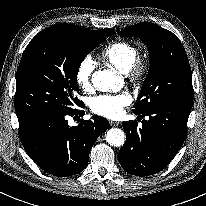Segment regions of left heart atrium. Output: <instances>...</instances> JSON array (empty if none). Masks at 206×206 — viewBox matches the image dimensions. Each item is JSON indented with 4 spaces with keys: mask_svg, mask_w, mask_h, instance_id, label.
<instances>
[{
    "mask_svg": "<svg viewBox=\"0 0 206 206\" xmlns=\"http://www.w3.org/2000/svg\"><path fill=\"white\" fill-rule=\"evenodd\" d=\"M132 101V97L127 92L118 94H105L94 97L90 102L92 112L97 115L117 119L124 113V108Z\"/></svg>",
    "mask_w": 206,
    "mask_h": 206,
    "instance_id": "1",
    "label": "left heart atrium"
}]
</instances>
